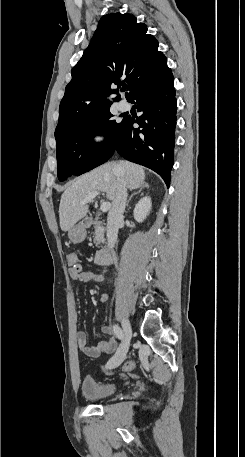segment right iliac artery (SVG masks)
Returning <instances> with one entry per match:
<instances>
[{
  "instance_id": "1",
  "label": "right iliac artery",
  "mask_w": 245,
  "mask_h": 457,
  "mask_svg": "<svg viewBox=\"0 0 245 457\" xmlns=\"http://www.w3.org/2000/svg\"><path fill=\"white\" fill-rule=\"evenodd\" d=\"M113 331H114V334L116 335V337L119 340H123L124 339V333H123L122 329L118 325H114L113 326Z\"/></svg>"
}]
</instances>
